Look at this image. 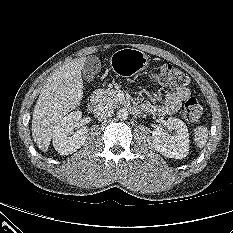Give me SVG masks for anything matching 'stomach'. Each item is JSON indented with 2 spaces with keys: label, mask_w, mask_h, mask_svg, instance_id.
Instances as JSON below:
<instances>
[{
  "label": "stomach",
  "mask_w": 233,
  "mask_h": 233,
  "mask_svg": "<svg viewBox=\"0 0 233 233\" xmlns=\"http://www.w3.org/2000/svg\"><path fill=\"white\" fill-rule=\"evenodd\" d=\"M111 68L121 76H131L149 64L147 55L137 49L124 48L114 52L110 58Z\"/></svg>",
  "instance_id": "stomach-1"
}]
</instances>
